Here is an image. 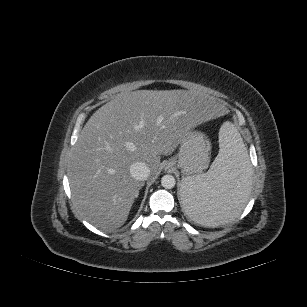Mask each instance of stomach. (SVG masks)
<instances>
[{"label":"stomach","instance_id":"obj_1","mask_svg":"<svg viewBox=\"0 0 307 307\" xmlns=\"http://www.w3.org/2000/svg\"><path fill=\"white\" fill-rule=\"evenodd\" d=\"M211 144L204 133L190 130L182 139L174 164L184 175L201 173L210 161Z\"/></svg>","mask_w":307,"mask_h":307}]
</instances>
